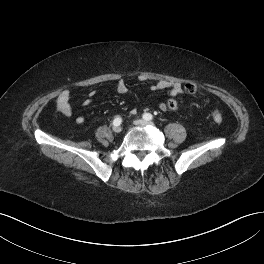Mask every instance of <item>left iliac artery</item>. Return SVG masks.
Returning <instances> with one entry per match:
<instances>
[{
    "label": "left iliac artery",
    "mask_w": 264,
    "mask_h": 264,
    "mask_svg": "<svg viewBox=\"0 0 264 264\" xmlns=\"http://www.w3.org/2000/svg\"><path fill=\"white\" fill-rule=\"evenodd\" d=\"M143 119H145V120H152L153 119V116H152V114H150V113H145L144 115H143Z\"/></svg>",
    "instance_id": "obj_1"
}]
</instances>
